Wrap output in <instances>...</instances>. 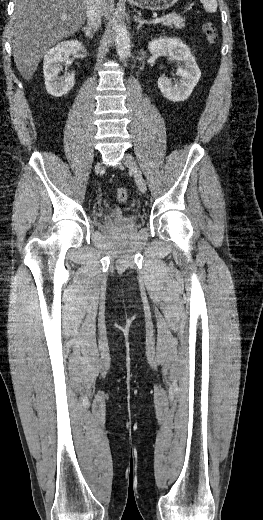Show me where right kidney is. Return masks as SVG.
I'll return each mask as SVG.
<instances>
[{"instance_id":"ca27d5eb","label":"right kidney","mask_w":263,"mask_h":520,"mask_svg":"<svg viewBox=\"0 0 263 520\" xmlns=\"http://www.w3.org/2000/svg\"><path fill=\"white\" fill-rule=\"evenodd\" d=\"M79 51H86L82 43L78 40H68L58 43L44 55L43 73L45 87L50 95L62 97L74 87V72L65 73L61 77L59 73L62 71V63L69 59L71 54Z\"/></svg>"}]
</instances>
